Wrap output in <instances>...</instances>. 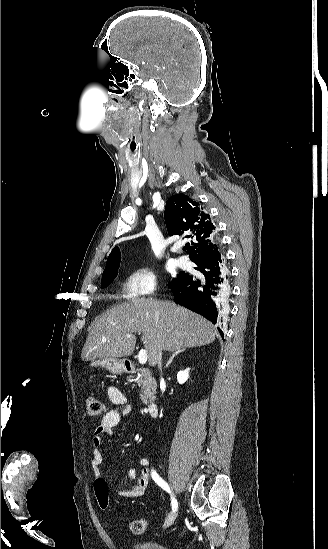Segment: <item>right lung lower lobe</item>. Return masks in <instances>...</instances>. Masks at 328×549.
Wrapping results in <instances>:
<instances>
[{
	"mask_svg": "<svg viewBox=\"0 0 328 549\" xmlns=\"http://www.w3.org/2000/svg\"><path fill=\"white\" fill-rule=\"evenodd\" d=\"M197 275L187 274L169 284L180 305L217 324L223 337L221 294L226 288L227 268L224 258L213 257L195 262Z\"/></svg>",
	"mask_w": 328,
	"mask_h": 549,
	"instance_id": "right-lung-lower-lobe-1",
	"label": "right lung lower lobe"
}]
</instances>
